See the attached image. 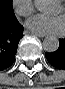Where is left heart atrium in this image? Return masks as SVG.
Returning <instances> with one entry per match:
<instances>
[{
	"mask_svg": "<svg viewBox=\"0 0 65 89\" xmlns=\"http://www.w3.org/2000/svg\"><path fill=\"white\" fill-rule=\"evenodd\" d=\"M25 26L36 34H61L65 28V21L60 15L36 14L26 20Z\"/></svg>",
	"mask_w": 65,
	"mask_h": 89,
	"instance_id": "obj_1",
	"label": "left heart atrium"
}]
</instances>
